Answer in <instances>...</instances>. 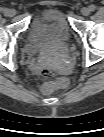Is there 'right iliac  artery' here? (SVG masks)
Listing matches in <instances>:
<instances>
[{
    "instance_id": "right-iliac-artery-1",
    "label": "right iliac artery",
    "mask_w": 104,
    "mask_h": 137,
    "mask_svg": "<svg viewBox=\"0 0 104 137\" xmlns=\"http://www.w3.org/2000/svg\"><path fill=\"white\" fill-rule=\"evenodd\" d=\"M2 11L4 12V14H7L8 9L7 8H3Z\"/></svg>"
}]
</instances>
